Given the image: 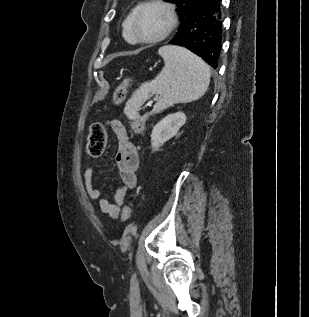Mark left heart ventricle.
I'll use <instances>...</instances> for the list:
<instances>
[{"mask_svg": "<svg viewBox=\"0 0 309 317\" xmlns=\"http://www.w3.org/2000/svg\"><path fill=\"white\" fill-rule=\"evenodd\" d=\"M166 12L159 7L145 9L137 23L140 35L144 38H153L160 35L168 25Z\"/></svg>", "mask_w": 309, "mask_h": 317, "instance_id": "obj_1", "label": "left heart ventricle"}]
</instances>
